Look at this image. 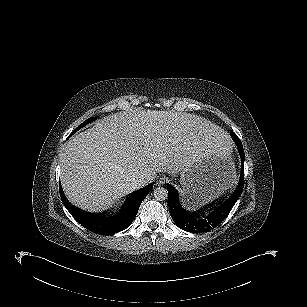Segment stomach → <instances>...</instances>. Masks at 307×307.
Returning a JSON list of instances; mask_svg holds the SVG:
<instances>
[{
  "mask_svg": "<svg viewBox=\"0 0 307 307\" xmlns=\"http://www.w3.org/2000/svg\"><path fill=\"white\" fill-rule=\"evenodd\" d=\"M231 156L209 153L184 166L180 173L181 195L185 206L196 208L223 194L235 181Z\"/></svg>",
  "mask_w": 307,
  "mask_h": 307,
  "instance_id": "stomach-1",
  "label": "stomach"
}]
</instances>
